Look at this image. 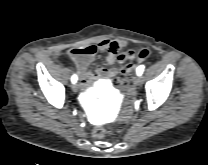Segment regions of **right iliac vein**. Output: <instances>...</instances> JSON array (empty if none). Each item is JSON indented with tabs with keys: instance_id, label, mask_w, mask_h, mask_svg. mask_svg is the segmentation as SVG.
Masks as SVG:
<instances>
[{
	"instance_id": "1",
	"label": "right iliac vein",
	"mask_w": 208,
	"mask_h": 165,
	"mask_svg": "<svg viewBox=\"0 0 208 165\" xmlns=\"http://www.w3.org/2000/svg\"><path fill=\"white\" fill-rule=\"evenodd\" d=\"M72 91H73V92H77V91H78V85H77L76 83H74V84L72 85Z\"/></svg>"
}]
</instances>
